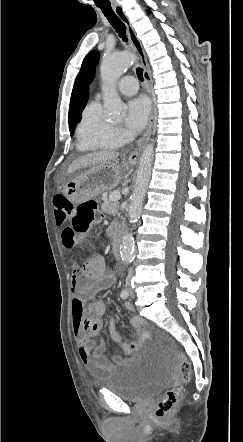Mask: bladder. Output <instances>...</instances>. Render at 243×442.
I'll list each match as a JSON object with an SVG mask.
<instances>
[{
    "label": "bladder",
    "instance_id": "obj_1",
    "mask_svg": "<svg viewBox=\"0 0 243 442\" xmlns=\"http://www.w3.org/2000/svg\"><path fill=\"white\" fill-rule=\"evenodd\" d=\"M176 362L161 355L149 359H132L106 376L96 380L119 398L139 402L158 394L167 381L174 379Z\"/></svg>",
    "mask_w": 243,
    "mask_h": 442
}]
</instances>
